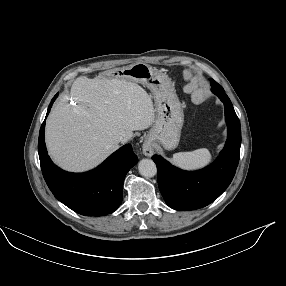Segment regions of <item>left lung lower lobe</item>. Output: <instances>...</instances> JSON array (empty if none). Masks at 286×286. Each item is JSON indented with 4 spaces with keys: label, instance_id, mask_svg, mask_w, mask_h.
Instances as JSON below:
<instances>
[{
    "label": "left lung lower lobe",
    "instance_id": "1",
    "mask_svg": "<svg viewBox=\"0 0 286 286\" xmlns=\"http://www.w3.org/2000/svg\"><path fill=\"white\" fill-rule=\"evenodd\" d=\"M224 103L228 138L219 157L207 168L195 172L180 170L161 156L154 155L158 185L167 205L175 210H194L216 200L231 183L239 162L240 121L227 95L218 96Z\"/></svg>",
    "mask_w": 286,
    "mask_h": 286
}]
</instances>
